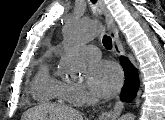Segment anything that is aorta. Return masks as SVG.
<instances>
[{
	"label": "aorta",
	"instance_id": "obj_1",
	"mask_svg": "<svg viewBox=\"0 0 165 120\" xmlns=\"http://www.w3.org/2000/svg\"><path fill=\"white\" fill-rule=\"evenodd\" d=\"M99 31L98 26L88 24L79 18H71L66 21L64 28L65 35V56L62 59L61 66L66 74H75L83 71L85 64L78 56V48L95 37ZM122 120H134L133 114H126Z\"/></svg>",
	"mask_w": 165,
	"mask_h": 120
}]
</instances>
